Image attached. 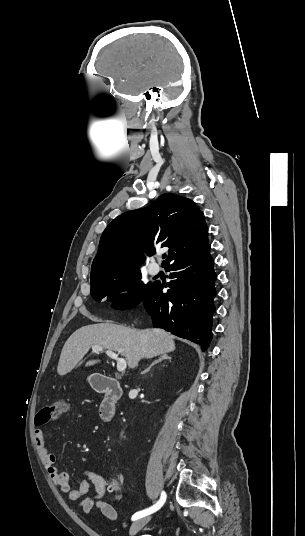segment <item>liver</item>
Masks as SVG:
<instances>
[{
	"mask_svg": "<svg viewBox=\"0 0 305 536\" xmlns=\"http://www.w3.org/2000/svg\"><path fill=\"white\" fill-rule=\"evenodd\" d=\"M92 346L119 352L126 358L129 368H136L141 358H155L175 350L174 336L159 328L131 330L117 324L83 326L68 338L62 348L57 366L59 376H65L74 370ZM99 362L100 360H90L86 366H94Z\"/></svg>",
	"mask_w": 305,
	"mask_h": 536,
	"instance_id": "6515ba94",
	"label": "liver"
}]
</instances>
